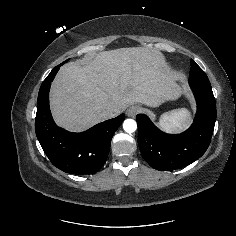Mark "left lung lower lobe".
<instances>
[{"label":"left lung lower lobe","instance_id":"1","mask_svg":"<svg viewBox=\"0 0 236 236\" xmlns=\"http://www.w3.org/2000/svg\"><path fill=\"white\" fill-rule=\"evenodd\" d=\"M197 102L191 127L181 134H166L144 114H138V145L151 167L169 171L187 166L207 150L216 120V103L208 77L189 79Z\"/></svg>","mask_w":236,"mask_h":236}]
</instances>
